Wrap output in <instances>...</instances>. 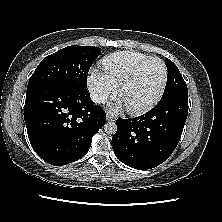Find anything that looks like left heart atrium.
I'll list each match as a JSON object with an SVG mask.
<instances>
[{
	"instance_id": "1",
	"label": "left heart atrium",
	"mask_w": 222,
	"mask_h": 222,
	"mask_svg": "<svg viewBox=\"0 0 222 222\" xmlns=\"http://www.w3.org/2000/svg\"><path fill=\"white\" fill-rule=\"evenodd\" d=\"M122 105H123V101L122 100L117 101L114 104H112L111 109L113 111L117 112V111H119L122 108Z\"/></svg>"
}]
</instances>
